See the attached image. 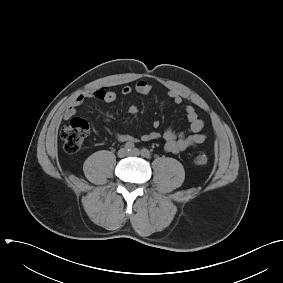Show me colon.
<instances>
[{
    "label": "colon",
    "instance_id": "5ec220e1",
    "mask_svg": "<svg viewBox=\"0 0 283 283\" xmlns=\"http://www.w3.org/2000/svg\"><path fill=\"white\" fill-rule=\"evenodd\" d=\"M88 131L89 125L84 119L75 117L66 123L60 132L65 150L68 152L79 150ZM208 162L209 158L204 153H199L194 158V164L197 166H205Z\"/></svg>",
    "mask_w": 283,
    "mask_h": 283
}]
</instances>
